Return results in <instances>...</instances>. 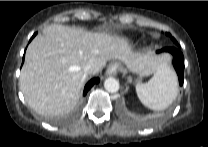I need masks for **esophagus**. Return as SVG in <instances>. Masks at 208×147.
<instances>
[{"label":"esophagus","mask_w":208,"mask_h":147,"mask_svg":"<svg viewBox=\"0 0 208 147\" xmlns=\"http://www.w3.org/2000/svg\"><path fill=\"white\" fill-rule=\"evenodd\" d=\"M120 69V66L118 63H111L108 68H107V71L106 73L108 75H115Z\"/></svg>","instance_id":"obj_1"}]
</instances>
